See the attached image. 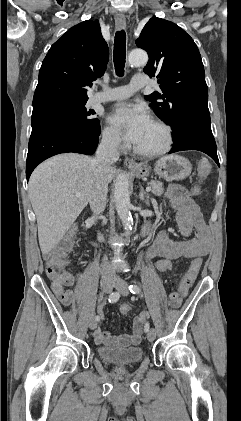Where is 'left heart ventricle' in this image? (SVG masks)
Returning <instances> with one entry per match:
<instances>
[{"mask_svg": "<svg viewBox=\"0 0 241 421\" xmlns=\"http://www.w3.org/2000/svg\"><path fill=\"white\" fill-rule=\"evenodd\" d=\"M163 142L164 133L162 129L151 122L135 145L143 150H155L161 147Z\"/></svg>", "mask_w": 241, "mask_h": 421, "instance_id": "obj_1", "label": "left heart ventricle"}]
</instances>
